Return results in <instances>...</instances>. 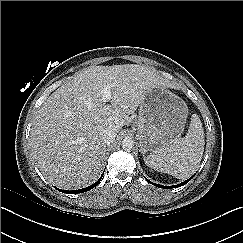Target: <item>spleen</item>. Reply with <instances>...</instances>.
<instances>
[{"instance_id":"obj_1","label":"spleen","mask_w":243,"mask_h":243,"mask_svg":"<svg viewBox=\"0 0 243 243\" xmlns=\"http://www.w3.org/2000/svg\"><path fill=\"white\" fill-rule=\"evenodd\" d=\"M204 131L198 115L193 114L187 134L170 146L150 153L146 165L178 179L190 177L198 168L204 152Z\"/></svg>"}]
</instances>
